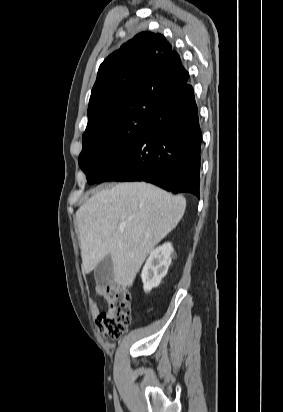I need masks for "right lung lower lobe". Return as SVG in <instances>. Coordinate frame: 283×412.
<instances>
[{"instance_id": "obj_1", "label": "right lung lower lobe", "mask_w": 283, "mask_h": 412, "mask_svg": "<svg viewBox=\"0 0 283 412\" xmlns=\"http://www.w3.org/2000/svg\"><path fill=\"white\" fill-rule=\"evenodd\" d=\"M202 133L191 85L174 92L128 151L95 183L146 181L199 198Z\"/></svg>"}]
</instances>
